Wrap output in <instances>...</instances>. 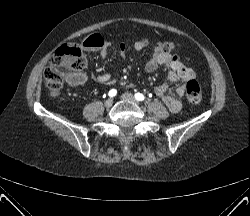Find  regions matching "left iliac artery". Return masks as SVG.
<instances>
[{"label":"left iliac artery","instance_id":"obj_1","mask_svg":"<svg viewBox=\"0 0 250 216\" xmlns=\"http://www.w3.org/2000/svg\"><path fill=\"white\" fill-rule=\"evenodd\" d=\"M135 98H136V100H138V101H143V100L145 99L144 95L141 94V93H136V94H135Z\"/></svg>","mask_w":250,"mask_h":216}]
</instances>
